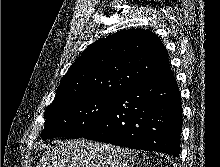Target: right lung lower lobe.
I'll list each match as a JSON object with an SVG mask.
<instances>
[{
	"label": "right lung lower lobe",
	"mask_w": 220,
	"mask_h": 167,
	"mask_svg": "<svg viewBox=\"0 0 220 167\" xmlns=\"http://www.w3.org/2000/svg\"><path fill=\"white\" fill-rule=\"evenodd\" d=\"M182 107L172 74L115 95L82 138L179 157Z\"/></svg>",
	"instance_id": "98d812e1"
}]
</instances>
